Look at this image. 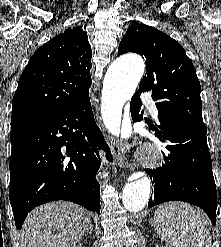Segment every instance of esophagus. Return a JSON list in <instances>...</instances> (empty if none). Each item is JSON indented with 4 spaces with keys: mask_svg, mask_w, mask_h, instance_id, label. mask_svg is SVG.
<instances>
[{
    "mask_svg": "<svg viewBox=\"0 0 221 247\" xmlns=\"http://www.w3.org/2000/svg\"><path fill=\"white\" fill-rule=\"evenodd\" d=\"M106 140L115 157L117 165L133 170L132 164H130L125 157V147L122 138L115 140L113 137L107 135Z\"/></svg>",
    "mask_w": 221,
    "mask_h": 247,
    "instance_id": "esophagus-1",
    "label": "esophagus"
}]
</instances>
